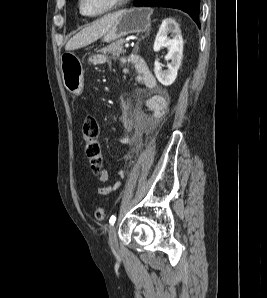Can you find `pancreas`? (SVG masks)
Wrapping results in <instances>:
<instances>
[{
	"label": "pancreas",
	"instance_id": "cf45deb5",
	"mask_svg": "<svg viewBox=\"0 0 267 298\" xmlns=\"http://www.w3.org/2000/svg\"><path fill=\"white\" fill-rule=\"evenodd\" d=\"M126 43V40L120 39L111 43L110 45L102 48L100 51L107 54H112L114 56H119L124 53L123 45Z\"/></svg>",
	"mask_w": 267,
	"mask_h": 298
}]
</instances>
